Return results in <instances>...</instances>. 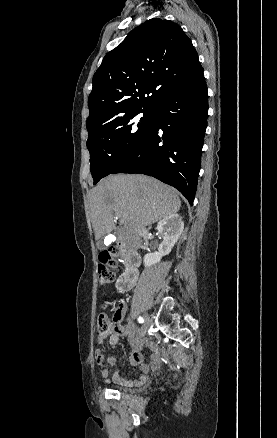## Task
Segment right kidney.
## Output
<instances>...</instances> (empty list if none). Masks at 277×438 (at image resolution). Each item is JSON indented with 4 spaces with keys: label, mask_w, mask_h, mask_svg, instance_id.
Wrapping results in <instances>:
<instances>
[{
    "label": "right kidney",
    "mask_w": 277,
    "mask_h": 438,
    "mask_svg": "<svg viewBox=\"0 0 277 438\" xmlns=\"http://www.w3.org/2000/svg\"><path fill=\"white\" fill-rule=\"evenodd\" d=\"M156 230H158V234L162 236L163 242L160 244L158 252H154V254H145L143 262L146 268L158 264L163 256L170 254L173 246L178 242L184 230L182 216H179V214H170V216H166V218H163V220L158 222Z\"/></svg>",
    "instance_id": "ca27d5eb"
}]
</instances>
